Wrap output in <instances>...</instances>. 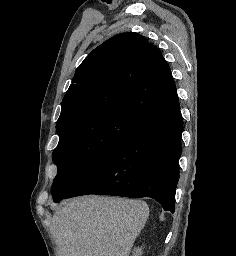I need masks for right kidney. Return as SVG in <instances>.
Instances as JSON below:
<instances>
[{"label": "right kidney", "instance_id": "1", "mask_svg": "<svg viewBox=\"0 0 236 256\" xmlns=\"http://www.w3.org/2000/svg\"><path fill=\"white\" fill-rule=\"evenodd\" d=\"M143 248H134L133 256H142Z\"/></svg>", "mask_w": 236, "mask_h": 256}]
</instances>
